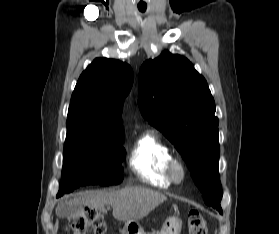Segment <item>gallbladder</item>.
<instances>
[{"label":"gallbladder","mask_w":279,"mask_h":234,"mask_svg":"<svg viewBox=\"0 0 279 234\" xmlns=\"http://www.w3.org/2000/svg\"><path fill=\"white\" fill-rule=\"evenodd\" d=\"M82 212V208L79 205H67L65 208L59 210V216L63 218L70 217L74 214Z\"/></svg>","instance_id":"bac80fb5"}]
</instances>
